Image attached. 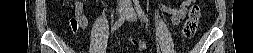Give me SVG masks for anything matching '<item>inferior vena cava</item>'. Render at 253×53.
<instances>
[{
  "instance_id": "obj_1",
  "label": "inferior vena cava",
  "mask_w": 253,
  "mask_h": 53,
  "mask_svg": "<svg viewBox=\"0 0 253 53\" xmlns=\"http://www.w3.org/2000/svg\"><path fill=\"white\" fill-rule=\"evenodd\" d=\"M126 2H130V0H125Z\"/></svg>"
}]
</instances>
